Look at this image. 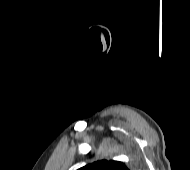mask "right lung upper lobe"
Masks as SVG:
<instances>
[{"label":"right lung upper lobe","mask_w":190,"mask_h":170,"mask_svg":"<svg viewBox=\"0 0 190 170\" xmlns=\"http://www.w3.org/2000/svg\"><path fill=\"white\" fill-rule=\"evenodd\" d=\"M78 170H129L122 162L114 160H100L88 164Z\"/></svg>","instance_id":"right-lung-upper-lobe-1"}]
</instances>
